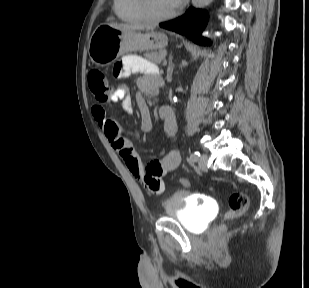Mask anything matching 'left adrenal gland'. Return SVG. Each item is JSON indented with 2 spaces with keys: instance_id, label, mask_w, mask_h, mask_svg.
Here are the masks:
<instances>
[{
  "instance_id": "1",
  "label": "left adrenal gland",
  "mask_w": 309,
  "mask_h": 288,
  "mask_svg": "<svg viewBox=\"0 0 309 288\" xmlns=\"http://www.w3.org/2000/svg\"><path fill=\"white\" fill-rule=\"evenodd\" d=\"M172 59H173V57H172V55H170V57H169V63H168V70H167L168 75H169L170 77L172 76L173 68H174V63L172 62Z\"/></svg>"
}]
</instances>
